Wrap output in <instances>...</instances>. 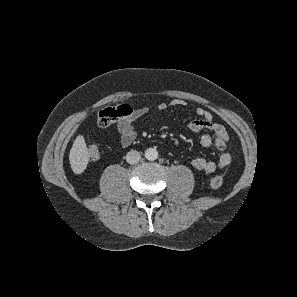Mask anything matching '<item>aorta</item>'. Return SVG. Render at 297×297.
I'll use <instances>...</instances> for the list:
<instances>
[{
  "instance_id": "obj_1",
  "label": "aorta",
  "mask_w": 297,
  "mask_h": 297,
  "mask_svg": "<svg viewBox=\"0 0 297 297\" xmlns=\"http://www.w3.org/2000/svg\"><path fill=\"white\" fill-rule=\"evenodd\" d=\"M145 158L151 161L156 160L158 158V151L155 148L146 149Z\"/></svg>"
}]
</instances>
